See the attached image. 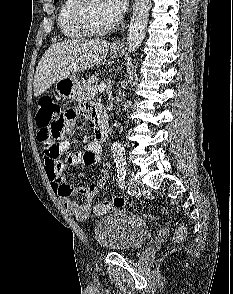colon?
Returning <instances> with one entry per match:
<instances>
[{"label":"colon","instance_id":"5ec220e1","mask_svg":"<svg viewBox=\"0 0 233 294\" xmlns=\"http://www.w3.org/2000/svg\"><path fill=\"white\" fill-rule=\"evenodd\" d=\"M58 108L61 107L50 96H44L40 98L38 102V110L36 113V124L40 128V132H48L45 131V126H50L51 120H57ZM125 204L126 201L124 198L115 197L111 202H102L96 205L93 212L97 215H103L116 208L123 207ZM183 235L184 229L182 227L178 228L176 232V238L181 239Z\"/></svg>","mask_w":233,"mask_h":294}]
</instances>
